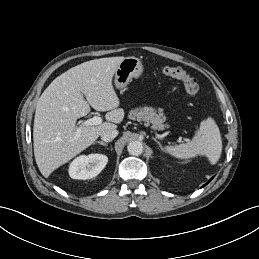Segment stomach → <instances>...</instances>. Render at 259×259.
Masks as SVG:
<instances>
[{"mask_svg": "<svg viewBox=\"0 0 259 259\" xmlns=\"http://www.w3.org/2000/svg\"><path fill=\"white\" fill-rule=\"evenodd\" d=\"M143 72V65L136 57H126L115 71L114 83L117 89L123 90L132 78L139 77Z\"/></svg>", "mask_w": 259, "mask_h": 259, "instance_id": "stomach-1", "label": "stomach"}]
</instances>
